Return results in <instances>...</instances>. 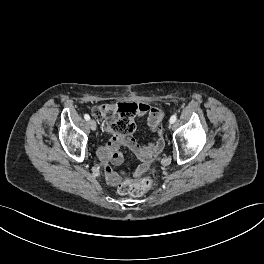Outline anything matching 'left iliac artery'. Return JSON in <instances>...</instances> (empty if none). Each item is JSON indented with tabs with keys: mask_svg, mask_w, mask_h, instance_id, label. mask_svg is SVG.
<instances>
[{
	"mask_svg": "<svg viewBox=\"0 0 264 264\" xmlns=\"http://www.w3.org/2000/svg\"><path fill=\"white\" fill-rule=\"evenodd\" d=\"M176 120H177V116H176V114H174L171 116L169 122L173 124Z\"/></svg>",
	"mask_w": 264,
	"mask_h": 264,
	"instance_id": "left-iliac-artery-1",
	"label": "left iliac artery"
}]
</instances>
